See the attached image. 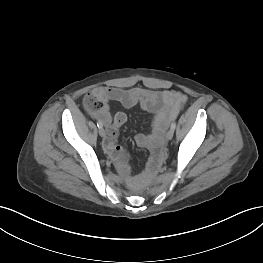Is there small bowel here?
<instances>
[{
  "instance_id": "obj_1",
  "label": "small bowel",
  "mask_w": 263,
  "mask_h": 263,
  "mask_svg": "<svg viewBox=\"0 0 263 263\" xmlns=\"http://www.w3.org/2000/svg\"><path fill=\"white\" fill-rule=\"evenodd\" d=\"M92 94L102 99L105 103L116 101L124 108L139 105L143 110L153 115L152 133L149 135L139 134L135 142L139 147L151 150L158 149L163 143V136L170 121L175 119L181 108L187 101L186 95L176 91H157L152 89L134 87L122 89L117 87H97ZM107 128V136L103 142L106 153L111 157L118 172L129 182H136L137 178L130 175V166L127 163L125 150L117 143L118 130L126 122L127 116L124 112H117L112 116L105 107L98 115ZM161 153L156 160L161 158Z\"/></svg>"
}]
</instances>
